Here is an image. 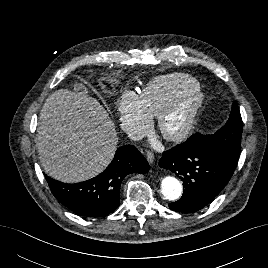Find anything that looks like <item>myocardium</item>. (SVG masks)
I'll list each match as a JSON object with an SVG mask.
<instances>
[{"label": "myocardium", "instance_id": "myocardium-1", "mask_svg": "<svg viewBox=\"0 0 268 268\" xmlns=\"http://www.w3.org/2000/svg\"><path fill=\"white\" fill-rule=\"evenodd\" d=\"M205 94L199 86H191L174 96L157 115V130L164 139L170 142H181L192 132L197 123ZM186 113L183 123L174 130L166 128V121L178 110Z\"/></svg>", "mask_w": 268, "mask_h": 268}]
</instances>
